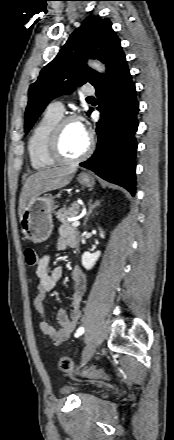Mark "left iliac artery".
Masks as SVG:
<instances>
[{"label":"left iliac artery","instance_id":"44dca946","mask_svg":"<svg viewBox=\"0 0 174 440\" xmlns=\"http://www.w3.org/2000/svg\"><path fill=\"white\" fill-rule=\"evenodd\" d=\"M85 329L84 327H80L76 333H75V337H79L80 335H82L84 333Z\"/></svg>","mask_w":174,"mask_h":440}]
</instances>
